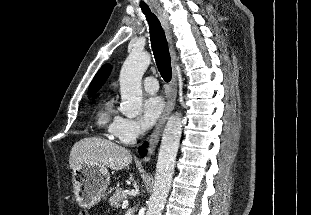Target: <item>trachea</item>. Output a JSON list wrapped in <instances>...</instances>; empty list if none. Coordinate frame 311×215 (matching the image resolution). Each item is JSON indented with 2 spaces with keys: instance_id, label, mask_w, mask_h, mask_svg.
I'll return each instance as SVG.
<instances>
[{
  "instance_id": "obj_1",
  "label": "trachea",
  "mask_w": 311,
  "mask_h": 215,
  "mask_svg": "<svg viewBox=\"0 0 311 215\" xmlns=\"http://www.w3.org/2000/svg\"><path fill=\"white\" fill-rule=\"evenodd\" d=\"M141 10L146 16L149 24L151 47L157 64L158 71L165 82H169L172 77L171 57L164 30L158 18L151 12L149 7L141 6Z\"/></svg>"
}]
</instances>
